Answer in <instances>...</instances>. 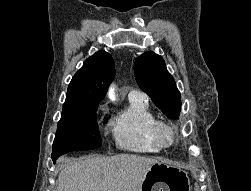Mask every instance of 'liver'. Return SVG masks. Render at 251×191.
<instances>
[{
    "label": "liver",
    "instance_id": "1",
    "mask_svg": "<svg viewBox=\"0 0 251 191\" xmlns=\"http://www.w3.org/2000/svg\"><path fill=\"white\" fill-rule=\"evenodd\" d=\"M158 157L120 153L111 157H59L57 191H139Z\"/></svg>",
    "mask_w": 251,
    "mask_h": 191
}]
</instances>
